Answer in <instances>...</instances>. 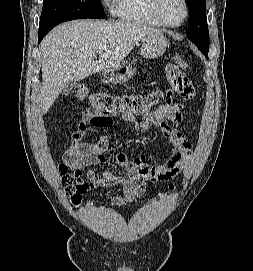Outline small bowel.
Wrapping results in <instances>:
<instances>
[{
  "mask_svg": "<svg viewBox=\"0 0 253 271\" xmlns=\"http://www.w3.org/2000/svg\"><path fill=\"white\" fill-rule=\"evenodd\" d=\"M165 74L168 85L164 87L165 103L163 105L145 115L141 120L136 119L132 114L116 113L114 115L131 123L133 131L137 133H147L151 128L159 130L172 147L170 156L159 165L149 166L144 155L130 159L125 153L118 152L113 157V163L124 169L128 176L125 177L109 170L99 174L94 167L107 164L106 152L109 149V138L101 136L96 143H85L83 138L90 125L111 127L113 122L110 116L87 110L77 129L73 132L68 149L63 155L64 162L71 168L87 169L88 186L86 191L120 185L122 196H114L112 200L121 205L140 198L145 193L148 183L169 181L185 167L193 150L192 143L183 132L171 127L169 123L183 122L186 102L192 97L176 90L175 76L180 74L178 70L173 66H167ZM175 91L181 96V101L175 100Z\"/></svg>",
  "mask_w": 253,
  "mask_h": 271,
  "instance_id": "obj_1",
  "label": "small bowel"
}]
</instances>
